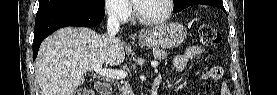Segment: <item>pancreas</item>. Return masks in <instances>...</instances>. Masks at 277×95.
<instances>
[{"label": "pancreas", "mask_w": 277, "mask_h": 95, "mask_svg": "<svg viewBox=\"0 0 277 95\" xmlns=\"http://www.w3.org/2000/svg\"><path fill=\"white\" fill-rule=\"evenodd\" d=\"M153 54L156 60H163L164 58H167L168 55L165 50L160 49L154 50ZM118 89L120 95H129L132 93L130 85L127 82H125L123 85H119Z\"/></svg>", "instance_id": "obj_1"}]
</instances>
